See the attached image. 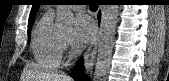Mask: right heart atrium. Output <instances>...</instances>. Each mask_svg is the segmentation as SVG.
<instances>
[{"instance_id":"1","label":"right heart atrium","mask_w":169,"mask_h":81,"mask_svg":"<svg viewBox=\"0 0 169 81\" xmlns=\"http://www.w3.org/2000/svg\"><path fill=\"white\" fill-rule=\"evenodd\" d=\"M62 48H63L64 50H66V49H67V45H66L65 43H62Z\"/></svg>"}]
</instances>
